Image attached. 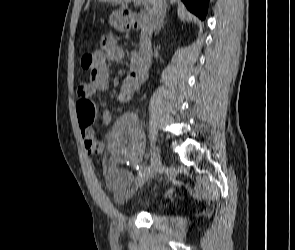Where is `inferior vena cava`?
I'll list each match as a JSON object with an SVG mask.
<instances>
[{"instance_id": "1", "label": "inferior vena cava", "mask_w": 295, "mask_h": 250, "mask_svg": "<svg viewBox=\"0 0 295 250\" xmlns=\"http://www.w3.org/2000/svg\"><path fill=\"white\" fill-rule=\"evenodd\" d=\"M164 9L165 8L163 7V5L160 4V5H158V7L155 10V13H154L155 14V26H157V27H158L159 21L163 15V13H164Z\"/></svg>"}]
</instances>
